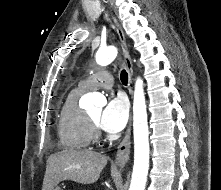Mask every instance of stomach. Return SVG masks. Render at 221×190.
Listing matches in <instances>:
<instances>
[{
    "label": "stomach",
    "mask_w": 221,
    "mask_h": 190,
    "mask_svg": "<svg viewBox=\"0 0 221 190\" xmlns=\"http://www.w3.org/2000/svg\"><path fill=\"white\" fill-rule=\"evenodd\" d=\"M54 190H62L60 187H56Z\"/></svg>",
    "instance_id": "1"
}]
</instances>
